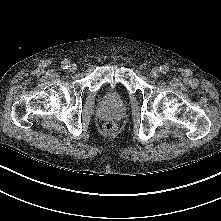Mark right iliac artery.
Returning <instances> with one entry per match:
<instances>
[{
	"label": "right iliac artery",
	"instance_id": "1",
	"mask_svg": "<svg viewBox=\"0 0 221 221\" xmlns=\"http://www.w3.org/2000/svg\"><path fill=\"white\" fill-rule=\"evenodd\" d=\"M61 67H62L63 69H67V68L69 67V62H68V60L62 61Z\"/></svg>",
	"mask_w": 221,
	"mask_h": 221
}]
</instances>
